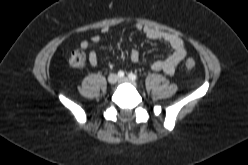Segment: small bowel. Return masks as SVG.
<instances>
[{
    "label": "small bowel",
    "mask_w": 248,
    "mask_h": 165,
    "mask_svg": "<svg viewBox=\"0 0 248 165\" xmlns=\"http://www.w3.org/2000/svg\"><path fill=\"white\" fill-rule=\"evenodd\" d=\"M137 29L147 38L163 42L171 48V53L165 59L154 61L151 67L155 71H162L167 75H173L186 56V49L183 40L176 34L165 32L152 26L138 24ZM108 32V28H102L100 33L94 34L90 40L81 41L80 48L88 50L91 43H98L101 40L102 35H105ZM129 58L132 63H138L140 60V53L137 50H132L129 54ZM88 60L92 67L98 65V55L95 50H90Z\"/></svg>",
    "instance_id": "c3829d8e"
}]
</instances>
